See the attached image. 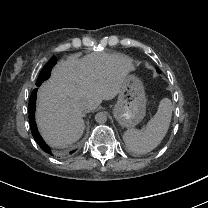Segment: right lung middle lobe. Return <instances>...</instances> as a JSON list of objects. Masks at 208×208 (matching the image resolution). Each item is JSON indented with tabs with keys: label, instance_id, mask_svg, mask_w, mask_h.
<instances>
[{
	"label": "right lung middle lobe",
	"instance_id": "right-lung-middle-lobe-1",
	"mask_svg": "<svg viewBox=\"0 0 208 208\" xmlns=\"http://www.w3.org/2000/svg\"><path fill=\"white\" fill-rule=\"evenodd\" d=\"M44 72H43V69H42V71H41V73H40V75H39V77H38V80H37V82H36V85L38 86V84H40V82H42V81H44Z\"/></svg>",
	"mask_w": 208,
	"mask_h": 208
}]
</instances>
